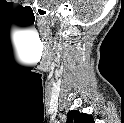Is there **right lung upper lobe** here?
<instances>
[{
	"instance_id": "1",
	"label": "right lung upper lobe",
	"mask_w": 124,
	"mask_h": 123,
	"mask_svg": "<svg viewBox=\"0 0 124 123\" xmlns=\"http://www.w3.org/2000/svg\"><path fill=\"white\" fill-rule=\"evenodd\" d=\"M93 117L91 115L81 113L77 110H73L67 115L66 123H93Z\"/></svg>"
}]
</instances>
